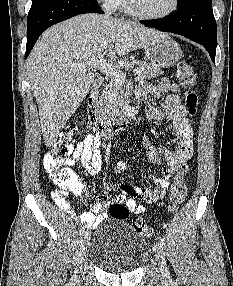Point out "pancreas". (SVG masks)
<instances>
[{
  "label": "pancreas",
  "instance_id": "pancreas-1",
  "mask_svg": "<svg viewBox=\"0 0 233 286\" xmlns=\"http://www.w3.org/2000/svg\"><path fill=\"white\" fill-rule=\"evenodd\" d=\"M134 64L137 66L135 68V74L141 80L152 79L162 74V70L160 68L153 67L148 63L138 61L134 62ZM136 71H140V73H136ZM122 94L123 84L110 77L109 83L103 91L100 99V105L103 107L105 114H111L115 109H117L119 104L123 102Z\"/></svg>",
  "mask_w": 233,
  "mask_h": 286
}]
</instances>
